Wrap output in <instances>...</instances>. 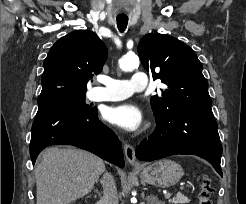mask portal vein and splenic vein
<instances>
[{
	"label": "portal vein and splenic vein",
	"mask_w": 246,
	"mask_h": 204,
	"mask_svg": "<svg viewBox=\"0 0 246 204\" xmlns=\"http://www.w3.org/2000/svg\"><path fill=\"white\" fill-rule=\"evenodd\" d=\"M171 197V194H167L166 196H165V198H170Z\"/></svg>",
	"instance_id": "1"
}]
</instances>
